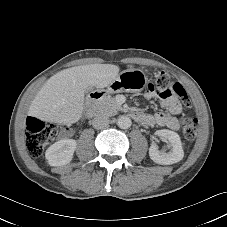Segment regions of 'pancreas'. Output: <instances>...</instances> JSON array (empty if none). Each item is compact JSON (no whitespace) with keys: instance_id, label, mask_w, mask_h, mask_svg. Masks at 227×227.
Segmentation results:
<instances>
[{"instance_id":"1","label":"pancreas","mask_w":227,"mask_h":227,"mask_svg":"<svg viewBox=\"0 0 227 227\" xmlns=\"http://www.w3.org/2000/svg\"><path fill=\"white\" fill-rule=\"evenodd\" d=\"M119 110H121V106L111 95H104L96 105V113L99 115L112 116Z\"/></svg>"}]
</instances>
